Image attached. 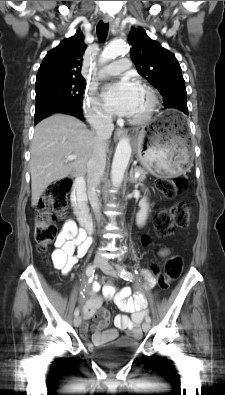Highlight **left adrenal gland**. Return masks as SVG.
<instances>
[{
  "mask_svg": "<svg viewBox=\"0 0 225 395\" xmlns=\"http://www.w3.org/2000/svg\"><path fill=\"white\" fill-rule=\"evenodd\" d=\"M130 182L132 184H137L138 183V180L134 177V169H133V167L130 170Z\"/></svg>",
  "mask_w": 225,
  "mask_h": 395,
  "instance_id": "a2214340",
  "label": "left adrenal gland"
}]
</instances>
